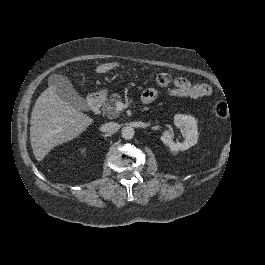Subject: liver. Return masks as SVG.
<instances>
[{
    "label": "liver",
    "mask_w": 265,
    "mask_h": 265,
    "mask_svg": "<svg viewBox=\"0 0 265 265\" xmlns=\"http://www.w3.org/2000/svg\"><path fill=\"white\" fill-rule=\"evenodd\" d=\"M120 62L98 65L96 74L122 67ZM81 76L79 71L73 78ZM57 86L47 88L37 99L31 116L30 143L35 159L41 163L56 147L78 138L95 119L75 109L57 95Z\"/></svg>",
    "instance_id": "1"
}]
</instances>
